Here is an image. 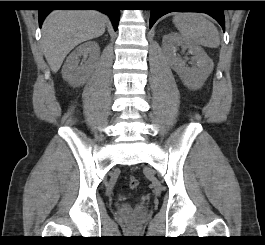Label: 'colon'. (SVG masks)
<instances>
[{"label":"colon","mask_w":265,"mask_h":245,"mask_svg":"<svg viewBox=\"0 0 265 245\" xmlns=\"http://www.w3.org/2000/svg\"><path fill=\"white\" fill-rule=\"evenodd\" d=\"M138 185H139V180H138V178L135 177V176L130 177V180H129V187H130L131 189H136V188L138 187Z\"/></svg>","instance_id":"obj_1"}]
</instances>
